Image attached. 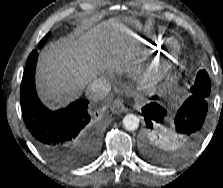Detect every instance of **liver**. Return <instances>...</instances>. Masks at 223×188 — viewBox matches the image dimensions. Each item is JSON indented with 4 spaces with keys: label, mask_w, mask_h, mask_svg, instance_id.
<instances>
[{
    "label": "liver",
    "mask_w": 223,
    "mask_h": 188,
    "mask_svg": "<svg viewBox=\"0 0 223 188\" xmlns=\"http://www.w3.org/2000/svg\"><path fill=\"white\" fill-rule=\"evenodd\" d=\"M129 22L139 24L129 19ZM128 28L119 18L86 23L40 52L37 89L47 102L62 106L78 97L105 69L129 70L136 63Z\"/></svg>",
    "instance_id": "obj_1"
}]
</instances>
